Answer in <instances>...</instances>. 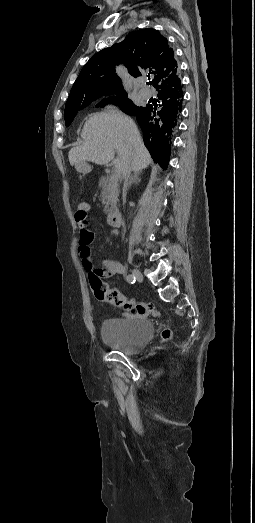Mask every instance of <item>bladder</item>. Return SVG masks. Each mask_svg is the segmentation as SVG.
I'll list each match as a JSON object with an SVG mask.
<instances>
[{
    "instance_id": "obj_1",
    "label": "bladder",
    "mask_w": 255,
    "mask_h": 523,
    "mask_svg": "<svg viewBox=\"0 0 255 523\" xmlns=\"http://www.w3.org/2000/svg\"><path fill=\"white\" fill-rule=\"evenodd\" d=\"M152 322L145 318H104L101 325L102 339L122 353H138L145 347L153 333Z\"/></svg>"
}]
</instances>
